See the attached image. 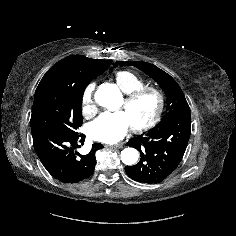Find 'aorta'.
Wrapping results in <instances>:
<instances>
[{
    "label": "aorta",
    "mask_w": 236,
    "mask_h": 236,
    "mask_svg": "<svg viewBox=\"0 0 236 236\" xmlns=\"http://www.w3.org/2000/svg\"><path fill=\"white\" fill-rule=\"evenodd\" d=\"M96 102L110 110L116 109L121 101V92L116 85H105L95 93ZM139 153L136 149L128 147L121 151V160L126 165H133L138 161Z\"/></svg>",
    "instance_id": "1"
}]
</instances>
